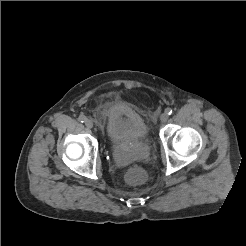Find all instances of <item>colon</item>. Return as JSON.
<instances>
[{"mask_svg": "<svg viewBox=\"0 0 246 246\" xmlns=\"http://www.w3.org/2000/svg\"><path fill=\"white\" fill-rule=\"evenodd\" d=\"M125 178L129 184H141L146 179V173L141 168H132L126 173Z\"/></svg>", "mask_w": 246, "mask_h": 246, "instance_id": "5ec220e1", "label": "colon"}]
</instances>
